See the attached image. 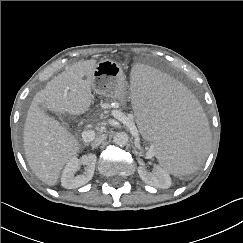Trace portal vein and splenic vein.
<instances>
[{
    "mask_svg": "<svg viewBox=\"0 0 243 243\" xmlns=\"http://www.w3.org/2000/svg\"><path fill=\"white\" fill-rule=\"evenodd\" d=\"M114 117L116 119H118L120 122H122L123 124H125L130 129L131 133L134 136L138 135V130H137L134 122L132 121V119H133L132 116H126L123 113L116 111L114 113ZM81 135H82L83 140L88 141V140H91L93 138L94 132L91 131V130H85V131L82 132ZM154 155H155L154 148L150 147V149L146 153V156L148 158H152Z\"/></svg>",
    "mask_w": 243,
    "mask_h": 243,
    "instance_id": "1",
    "label": "portal vein and splenic vein"
}]
</instances>
